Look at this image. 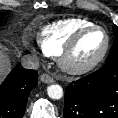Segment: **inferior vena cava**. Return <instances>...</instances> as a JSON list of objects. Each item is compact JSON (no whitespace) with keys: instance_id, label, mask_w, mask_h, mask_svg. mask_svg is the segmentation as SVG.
Here are the masks:
<instances>
[{"instance_id":"602c4592","label":"inferior vena cava","mask_w":118,"mask_h":118,"mask_svg":"<svg viewBox=\"0 0 118 118\" xmlns=\"http://www.w3.org/2000/svg\"><path fill=\"white\" fill-rule=\"evenodd\" d=\"M21 64L24 68L38 69L39 60L35 55H25L21 58Z\"/></svg>"}]
</instances>
